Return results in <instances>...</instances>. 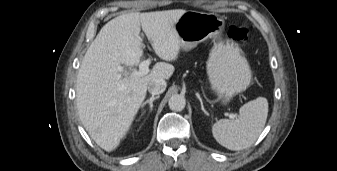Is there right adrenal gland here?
Returning a JSON list of instances; mask_svg holds the SVG:
<instances>
[{
  "instance_id": "2a0ac1e0",
  "label": "right adrenal gland",
  "mask_w": 337,
  "mask_h": 171,
  "mask_svg": "<svg viewBox=\"0 0 337 171\" xmlns=\"http://www.w3.org/2000/svg\"><path fill=\"white\" fill-rule=\"evenodd\" d=\"M159 96H152L150 99L146 100L144 103H142L141 107L143 108L146 104H149V107H150V112L152 111L153 109V101L158 99Z\"/></svg>"
}]
</instances>
